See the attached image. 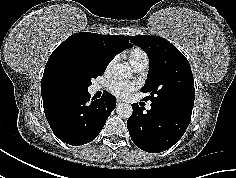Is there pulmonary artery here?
Returning <instances> with one entry per match:
<instances>
[{
  "label": "pulmonary artery",
  "mask_w": 236,
  "mask_h": 178,
  "mask_svg": "<svg viewBox=\"0 0 236 178\" xmlns=\"http://www.w3.org/2000/svg\"><path fill=\"white\" fill-rule=\"evenodd\" d=\"M146 67H147V64H141V65L135 67V68H134V71H135V72H141V71H143L144 69H146ZM96 89H97V88H93V90H96ZM148 108H150V105H148Z\"/></svg>",
  "instance_id": "e3ab8cb5"
}]
</instances>
